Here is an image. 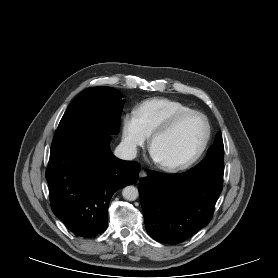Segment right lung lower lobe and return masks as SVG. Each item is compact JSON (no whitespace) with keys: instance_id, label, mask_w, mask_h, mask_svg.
<instances>
[{"instance_id":"1","label":"right lung lower lobe","mask_w":278,"mask_h":278,"mask_svg":"<svg viewBox=\"0 0 278 278\" xmlns=\"http://www.w3.org/2000/svg\"><path fill=\"white\" fill-rule=\"evenodd\" d=\"M110 134H92L51 147L46 178L53 213L75 234L92 237L107 228L108 205L141 169L116 158Z\"/></svg>"}]
</instances>
